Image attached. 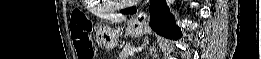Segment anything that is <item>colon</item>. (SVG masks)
<instances>
[{
  "instance_id": "obj_1",
  "label": "colon",
  "mask_w": 261,
  "mask_h": 59,
  "mask_svg": "<svg viewBox=\"0 0 261 59\" xmlns=\"http://www.w3.org/2000/svg\"><path fill=\"white\" fill-rule=\"evenodd\" d=\"M71 37L78 59H94V49L90 38V28L87 22L78 14L70 21Z\"/></svg>"
}]
</instances>
